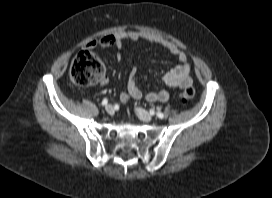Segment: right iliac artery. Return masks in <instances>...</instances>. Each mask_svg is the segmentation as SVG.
Masks as SVG:
<instances>
[{"instance_id":"right-iliac-artery-1","label":"right iliac artery","mask_w":272,"mask_h":198,"mask_svg":"<svg viewBox=\"0 0 272 198\" xmlns=\"http://www.w3.org/2000/svg\"><path fill=\"white\" fill-rule=\"evenodd\" d=\"M107 103H108V100H107L106 98L102 100V105H103V106H104V105H107Z\"/></svg>"}]
</instances>
